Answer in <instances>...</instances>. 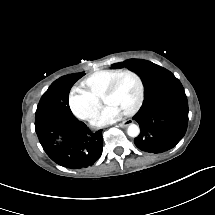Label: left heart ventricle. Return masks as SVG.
<instances>
[{
  "label": "left heart ventricle",
  "instance_id": "left-heart-ventricle-1",
  "mask_svg": "<svg viewBox=\"0 0 215 215\" xmlns=\"http://www.w3.org/2000/svg\"><path fill=\"white\" fill-rule=\"evenodd\" d=\"M134 94V83L128 77H123V81L117 92L110 95V102L113 105L120 106L122 104H131Z\"/></svg>",
  "mask_w": 215,
  "mask_h": 215
}]
</instances>
